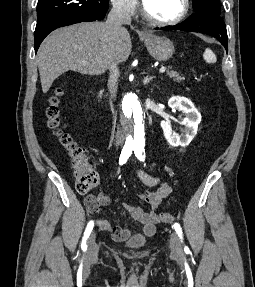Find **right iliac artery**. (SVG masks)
<instances>
[{
  "mask_svg": "<svg viewBox=\"0 0 255 287\" xmlns=\"http://www.w3.org/2000/svg\"><path fill=\"white\" fill-rule=\"evenodd\" d=\"M133 148L132 147H125L123 148L120 158H119V164L123 165L124 163H126V161L128 160V158L130 157V155L132 154ZM94 226V222L90 221L86 227V230L84 232V236L82 239V244H81V248L82 250H86L87 246H86V240L88 238V236L90 235L92 229Z\"/></svg>",
  "mask_w": 255,
  "mask_h": 287,
  "instance_id": "right-iliac-artery-1",
  "label": "right iliac artery"
}]
</instances>
